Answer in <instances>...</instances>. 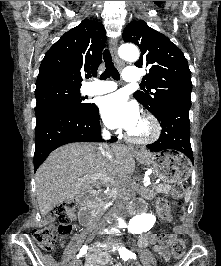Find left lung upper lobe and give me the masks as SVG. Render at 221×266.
<instances>
[{"instance_id": "5c2ea615", "label": "left lung upper lobe", "mask_w": 221, "mask_h": 266, "mask_svg": "<svg viewBox=\"0 0 221 266\" xmlns=\"http://www.w3.org/2000/svg\"><path fill=\"white\" fill-rule=\"evenodd\" d=\"M123 40L135 43L141 50L135 65L149 69L144 77L149 92L138 90L133 94L135 99L155 117L172 106L190 109L191 72L182 51L143 20L130 22L123 31Z\"/></svg>"}]
</instances>
